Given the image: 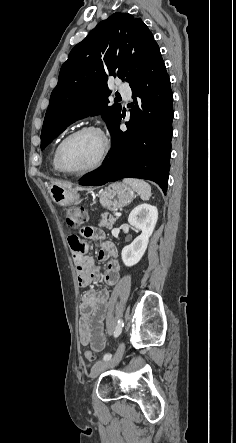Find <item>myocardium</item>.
Instances as JSON below:
<instances>
[{
    "label": "myocardium",
    "instance_id": "f54148a6",
    "mask_svg": "<svg viewBox=\"0 0 236 443\" xmlns=\"http://www.w3.org/2000/svg\"><path fill=\"white\" fill-rule=\"evenodd\" d=\"M84 132H94L99 135V137L102 140V150H101L100 156H99L98 160L96 161V163L89 168H86L83 170H70V169L66 168L63 163V159H62L63 148L70 139H72L73 137H75L81 133H84ZM109 150H110L109 139H108L107 135L105 134V132L99 126L83 125L77 129H75L74 131L70 132L69 134H67L59 143V145L57 147V152H56L57 165H58L61 172L69 174V175L80 176V175L90 174V173L97 171L103 165V163L105 162L106 157L109 153Z\"/></svg>",
    "mask_w": 236,
    "mask_h": 443
}]
</instances>
